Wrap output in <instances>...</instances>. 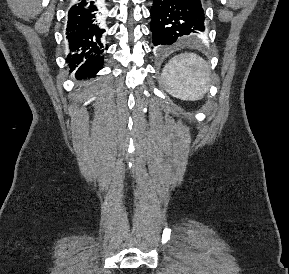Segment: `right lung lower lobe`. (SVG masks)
<instances>
[{"label": "right lung lower lobe", "mask_w": 289, "mask_h": 274, "mask_svg": "<svg viewBox=\"0 0 289 274\" xmlns=\"http://www.w3.org/2000/svg\"><path fill=\"white\" fill-rule=\"evenodd\" d=\"M103 22L102 6L98 0H72L66 28L70 49L67 62L72 70L81 64L77 76L95 74L102 68Z\"/></svg>", "instance_id": "obj_1"}]
</instances>
